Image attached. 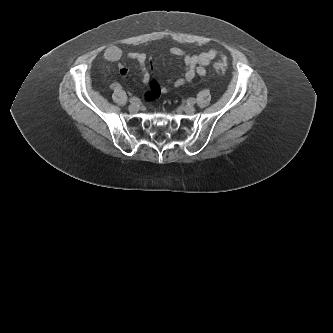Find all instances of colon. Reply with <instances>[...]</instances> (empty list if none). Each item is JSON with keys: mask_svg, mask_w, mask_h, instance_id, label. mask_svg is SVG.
Masks as SVG:
<instances>
[{"mask_svg": "<svg viewBox=\"0 0 333 333\" xmlns=\"http://www.w3.org/2000/svg\"><path fill=\"white\" fill-rule=\"evenodd\" d=\"M227 66L225 59H221L214 64V68L218 73H224L227 70Z\"/></svg>", "mask_w": 333, "mask_h": 333, "instance_id": "5ec220e1", "label": "colon"}]
</instances>
